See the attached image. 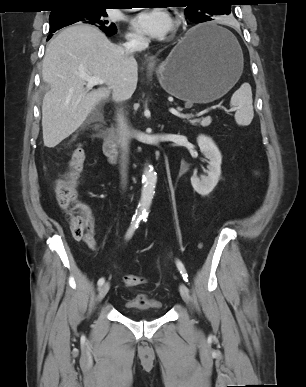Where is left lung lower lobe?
Here are the masks:
<instances>
[{
  "instance_id": "1",
  "label": "left lung lower lobe",
  "mask_w": 306,
  "mask_h": 387,
  "mask_svg": "<svg viewBox=\"0 0 306 387\" xmlns=\"http://www.w3.org/2000/svg\"><path fill=\"white\" fill-rule=\"evenodd\" d=\"M211 36H215V37H222L223 34L222 33H219V32H208ZM193 40L197 39V36H193L192 37Z\"/></svg>"
}]
</instances>
